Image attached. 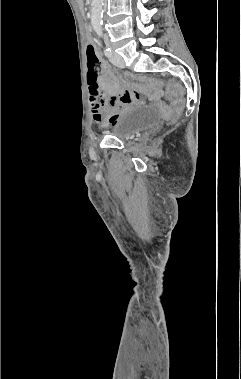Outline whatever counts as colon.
Masks as SVG:
<instances>
[{
  "label": "colon",
  "mask_w": 241,
  "mask_h": 379,
  "mask_svg": "<svg viewBox=\"0 0 241 379\" xmlns=\"http://www.w3.org/2000/svg\"><path fill=\"white\" fill-rule=\"evenodd\" d=\"M86 59H87V79L90 84V88H95L97 85V77L99 70V59L96 54V50L92 44H88L86 47ZM172 105L167 106V103H157V110H162L163 114L168 117L169 120H175L183 110V100L173 99Z\"/></svg>",
  "instance_id": "colon-1"
}]
</instances>
